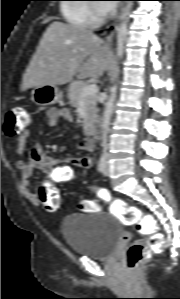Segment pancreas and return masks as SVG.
<instances>
[{"label": "pancreas", "mask_w": 180, "mask_h": 299, "mask_svg": "<svg viewBox=\"0 0 180 299\" xmlns=\"http://www.w3.org/2000/svg\"><path fill=\"white\" fill-rule=\"evenodd\" d=\"M85 86L86 84L83 81H72L68 86V98L70 99L71 106L75 108L79 106L81 100L84 101L86 118L83 121V127L87 129L97 115V96L88 95L86 97H82L81 92Z\"/></svg>", "instance_id": "1"}]
</instances>
